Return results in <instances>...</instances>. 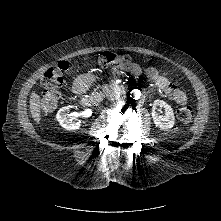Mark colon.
<instances>
[{"mask_svg": "<svg viewBox=\"0 0 221 221\" xmlns=\"http://www.w3.org/2000/svg\"><path fill=\"white\" fill-rule=\"evenodd\" d=\"M100 64L104 67L117 66L128 67L132 64L133 59L128 54L119 55L117 53H105L100 58ZM151 70H155L153 67H147ZM69 69V65L66 62H60L56 66L49 68L43 75L42 83L49 89L43 96L42 106L46 111L52 110L58 100L59 94L56 91L61 87L64 81V73ZM156 71V70H155ZM179 109L177 111L178 118L181 121L189 122L192 117V106L187 98L182 99L179 102Z\"/></svg>", "mask_w": 221, "mask_h": 221, "instance_id": "colon-1", "label": "colon"}]
</instances>
